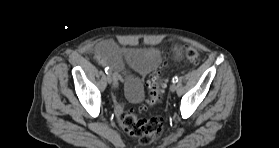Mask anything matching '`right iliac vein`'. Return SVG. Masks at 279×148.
I'll use <instances>...</instances> for the list:
<instances>
[{"instance_id":"obj_1","label":"right iliac vein","mask_w":279,"mask_h":148,"mask_svg":"<svg viewBox=\"0 0 279 148\" xmlns=\"http://www.w3.org/2000/svg\"><path fill=\"white\" fill-rule=\"evenodd\" d=\"M106 81L108 82V84H111V83H112L113 79H112L111 74H108V75L106 76Z\"/></svg>"}]
</instances>
